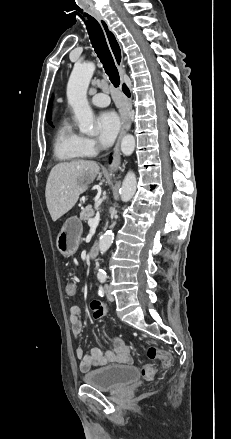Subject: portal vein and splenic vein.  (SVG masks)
Listing matches in <instances>:
<instances>
[{
	"instance_id": "portal-vein-and-splenic-vein-1",
	"label": "portal vein and splenic vein",
	"mask_w": 231,
	"mask_h": 439,
	"mask_svg": "<svg viewBox=\"0 0 231 439\" xmlns=\"http://www.w3.org/2000/svg\"><path fill=\"white\" fill-rule=\"evenodd\" d=\"M99 221H100V217L99 216H95L94 218H91V219L88 220V225L90 227H96V226H98Z\"/></svg>"
}]
</instances>
